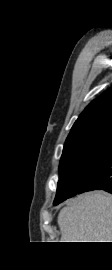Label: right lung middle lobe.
<instances>
[{"instance_id":"dd1d6c3e","label":"right lung middle lobe","mask_w":112,"mask_h":270,"mask_svg":"<svg viewBox=\"0 0 112 270\" xmlns=\"http://www.w3.org/2000/svg\"><path fill=\"white\" fill-rule=\"evenodd\" d=\"M111 143L112 124L96 126L66 140L54 205L84 191V173L103 157Z\"/></svg>"}]
</instances>
